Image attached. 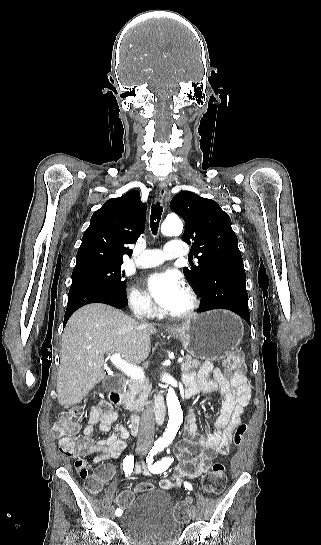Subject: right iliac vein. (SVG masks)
<instances>
[{
    "mask_svg": "<svg viewBox=\"0 0 321 545\" xmlns=\"http://www.w3.org/2000/svg\"><path fill=\"white\" fill-rule=\"evenodd\" d=\"M136 452H137V454H145V453H146V450H145L144 448H142V447H139V448L136 449ZM114 511H115V508L112 506V507L110 508V517H111L112 519L115 518V513H114Z\"/></svg>",
    "mask_w": 321,
    "mask_h": 545,
    "instance_id": "right-iliac-vein-1",
    "label": "right iliac vein"
}]
</instances>
